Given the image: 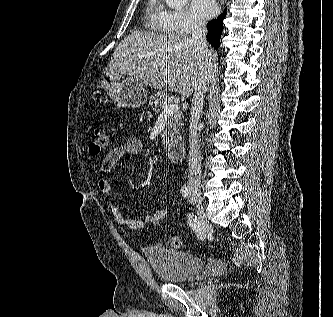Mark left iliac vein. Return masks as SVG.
<instances>
[{
  "mask_svg": "<svg viewBox=\"0 0 333 317\" xmlns=\"http://www.w3.org/2000/svg\"><path fill=\"white\" fill-rule=\"evenodd\" d=\"M189 200H190V202H191L192 204H195L191 196H190V199H189Z\"/></svg>",
  "mask_w": 333,
  "mask_h": 317,
  "instance_id": "left-iliac-vein-1",
  "label": "left iliac vein"
}]
</instances>
